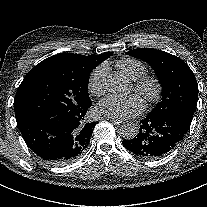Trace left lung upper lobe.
Instances as JSON below:
<instances>
[{
  "label": "left lung upper lobe",
  "mask_w": 207,
  "mask_h": 207,
  "mask_svg": "<svg viewBox=\"0 0 207 207\" xmlns=\"http://www.w3.org/2000/svg\"><path fill=\"white\" fill-rule=\"evenodd\" d=\"M128 55L147 62L162 86V100L148 114L174 115L191 124L198 99V84L190 67L180 58L161 50L137 49Z\"/></svg>",
  "instance_id": "obj_1"
}]
</instances>
